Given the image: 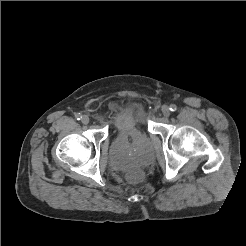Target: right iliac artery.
<instances>
[{"mask_svg": "<svg viewBox=\"0 0 246 246\" xmlns=\"http://www.w3.org/2000/svg\"><path fill=\"white\" fill-rule=\"evenodd\" d=\"M75 118H76L77 120H80V119L82 118V115H81L80 113H77V114L75 115Z\"/></svg>", "mask_w": 246, "mask_h": 246, "instance_id": "1", "label": "right iliac artery"}]
</instances>
